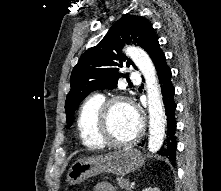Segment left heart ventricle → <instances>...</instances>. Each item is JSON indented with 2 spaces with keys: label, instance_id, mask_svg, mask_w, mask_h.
Wrapping results in <instances>:
<instances>
[{
  "label": "left heart ventricle",
  "instance_id": "b2bd125f",
  "mask_svg": "<svg viewBox=\"0 0 221 191\" xmlns=\"http://www.w3.org/2000/svg\"><path fill=\"white\" fill-rule=\"evenodd\" d=\"M111 134L116 140L125 141L132 138L139 126L135 111L120 104L113 108L110 119Z\"/></svg>",
  "mask_w": 221,
  "mask_h": 191
}]
</instances>
